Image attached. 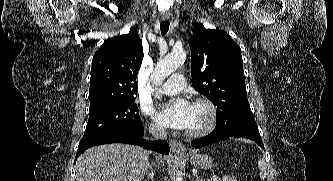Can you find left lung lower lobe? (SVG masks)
I'll use <instances>...</instances> for the list:
<instances>
[{"instance_id": "0a47b994", "label": "left lung lower lobe", "mask_w": 333, "mask_h": 181, "mask_svg": "<svg viewBox=\"0 0 333 181\" xmlns=\"http://www.w3.org/2000/svg\"><path fill=\"white\" fill-rule=\"evenodd\" d=\"M236 129V124L233 120L229 119L228 117L224 118H217V125L215 129L207 136L197 139L195 141H192V146L194 148H200L205 145L221 141V140H226L229 138H234V137H245L248 139L253 140L256 142L261 148L264 149L263 142L261 140L260 136H254L250 134H245V133H237L235 132Z\"/></svg>"}]
</instances>
